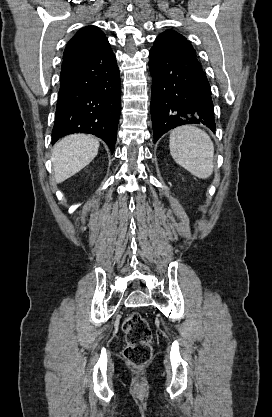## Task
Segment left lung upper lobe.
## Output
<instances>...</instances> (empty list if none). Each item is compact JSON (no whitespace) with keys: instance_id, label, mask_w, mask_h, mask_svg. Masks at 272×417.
<instances>
[{"instance_id":"obj_1","label":"left lung upper lobe","mask_w":272,"mask_h":417,"mask_svg":"<svg viewBox=\"0 0 272 417\" xmlns=\"http://www.w3.org/2000/svg\"><path fill=\"white\" fill-rule=\"evenodd\" d=\"M153 47L165 51L179 52L196 56L195 49L192 47L191 43L187 41L184 36L173 30H167L161 33L156 38Z\"/></svg>"}]
</instances>
